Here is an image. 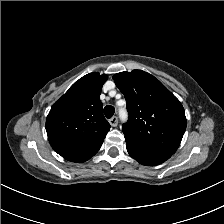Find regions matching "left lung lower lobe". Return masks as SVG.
Returning a JSON list of instances; mask_svg holds the SVG:
<instances>
[{"instance_id": "obj_1", "label": "left lung lower lobe", "mask_w": 224, "mask_h": 224, "mask_svg": "<svg viewBox=\"0 0 224 224\" xmlns=\"http://www.w3.org/2000/svg\"><path fill=\"white\" fill-rule=\"evenodd\" d=\"M125 141L130 156L143 165H158L172 156V153L158 148L138 144L128 139H125Z\"/></svg>"}]
</instances>
